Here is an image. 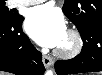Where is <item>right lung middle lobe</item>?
<instances>
[{"mask_svg":"<svg viewBox=\"0 0 102 75\" xmlns=\"http://www.w3.org/2000/svg\"><path fill=\"white\" fill-rule=\"evenodd\" d=\"M15 17L8 8L5 6V1H0V20L1 21H10Z\"/></svg>","mask_w":102,"mask_h":75,"instance_id":"dd1d6c3e","label":"right lung middle lobe"}]
</instances>
